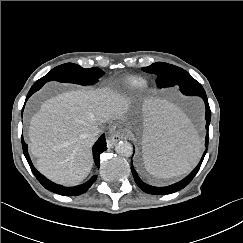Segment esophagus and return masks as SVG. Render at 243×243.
Listing matches in <instances>:
<instances>
[{
  "label": "esophagus",
  "mask_w": 243,
  "mask_h": 243,
  "mask_svg": "<svg viewBox=\"0 0 243 243\" xmlns=\"http://www.w3.org/2000/svg\"><path fill=\"white\" fill-rule=\"evenodd\" d=\"M126 136L124 133L122 132H115L114 134H112L109 138V142L111 144V146H114L117 142H119L120 140L125 139Z\"/></svg>",
  "instance_id": "34e87169"
}]
</instances>
